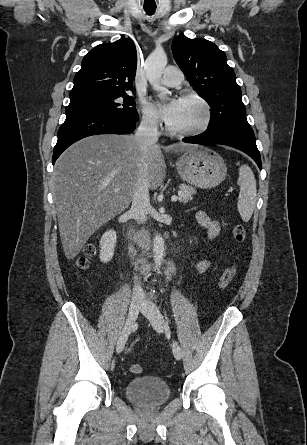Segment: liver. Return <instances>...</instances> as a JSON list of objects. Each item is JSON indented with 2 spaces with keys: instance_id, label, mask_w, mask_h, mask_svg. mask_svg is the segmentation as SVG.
Segmentation results:
<instances>
[{
  "instance_id": "obj_1",
  "label": "liver",
  "mask_w": 307,
  "mask_h": 445,
  "mask_svg": "<svg viewBox=\"0 0 307 445\" xmlns=\"http://www.w3.org/2000/svg\"><path fill=\"white\" fill-rule=\"evenodd\" d=\"M198 144L175 142L166 150L183 152ZM142 152L134 134L86 136L58 158L52 178L59 233L66 259H74L89 237L129 206L140 176ZM149 188L166 174L159 144L147 150ZM119 188V190H114Z\"/></svg>"
}]
</instances>
